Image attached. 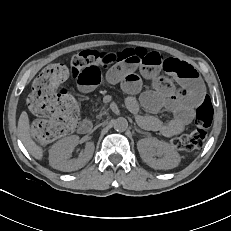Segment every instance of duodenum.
Listing matches in <instances>:
<instances>
[{
  "instance_id": "1",
  "label": "duodenum",
  "mask_w": 231,
  "mask_h": 231,
  "mask_svg": "<svg viewBox=\"0 0 231 231\" xmlns=\"http://www.w3.org/2000/svg\"><path fill=\"white\" fill-rule=\"evenodd\" d=\"M92 129V123L89 120H83L78 126V132L80 134H88Z\"/></svg>"
}]
</instances>
